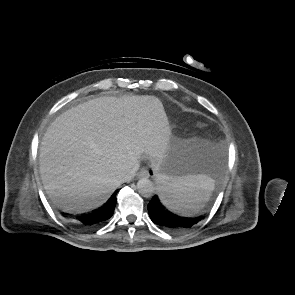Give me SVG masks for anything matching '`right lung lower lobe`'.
I'll return each instance as SVG.
<instances>
[{
	"label": "right lung lower lobe",
	"mask_w": 295,
	"mask_h": 295,
	"mask_svg": "<svg viewBox=\"0 0 295 295\" xmlns=\"http://www.w3.org/2000/svg\"><path fill=\"white\" fill-rule=\"evenodd\" d=\"M117 191L110 197V199L98 210L93 213L79 217L78 219L86 227L98 226L108 220L114 212L116 205Z\"/></svg>",
	"instance_id": "1"
}]
</instances>
